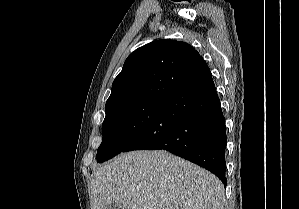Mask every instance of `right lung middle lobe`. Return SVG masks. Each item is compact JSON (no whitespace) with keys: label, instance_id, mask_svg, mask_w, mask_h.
I'll list each match as a JSON object with an SVG mask.
<instances>
[{"label":"right lung middle lobe","instance_id":"dd1d6c3e","mask_svg":"<svg viewBox=\"0 0 299 209\" xmlns=\"http://www.w3.org/2000/svg\"><path fill=\"white\" fill-rule=\"evenodd\" d=\"M162 104L143 101L106 110L97 162H104L121 153L143 131Z\"/></svg>","mask_w":299,"mask_h":209}]
</instances>
